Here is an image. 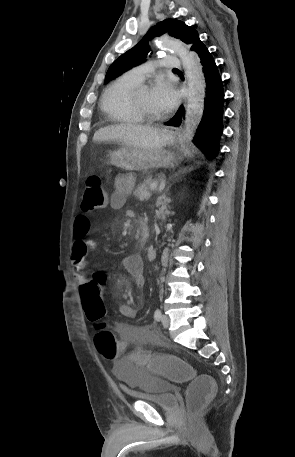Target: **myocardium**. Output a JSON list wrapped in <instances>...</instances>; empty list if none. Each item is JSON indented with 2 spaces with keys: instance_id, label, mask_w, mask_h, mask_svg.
Returning <instances> with one entry per match:
<instances>
[{
  "instance_id": "myocardium-1",
  "label": "myocardium",
  "mask_w": 295,
  "mask_h": 457,
  "mask_svg": "<svg viewBox=\"0 0 295 457\" xmlns=\"http://www.w3.org/2000/svg\"><path fill=\"white\" fill-rule=\"evenodd\" d=\"M145 88H147L146 85L140 84L133 89V91L131 92V95H130L131 106H132L133 110L135 111V113L143 120H146V121L160 120L162 118L161 114H154V113L147 111L145 108L142 107V105L140 104V102L138 100L139 92Z\"/></svg>"
}]
</instances>
